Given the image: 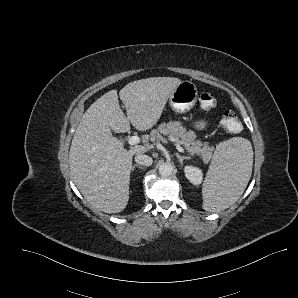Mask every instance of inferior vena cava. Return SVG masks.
I'll return each instance as SVG.
<instances>
[{
	"label": "inferior vena cava",
	"instance_id": "1",
	"mask_svg": "<svg viewBox=\"0 0 298 298\" xmlns=\"http://www.w3.org/2000/svg\"><path fill=\"white\" fill-rule=\"evenodd\" d=\"M135 161L138 164L145 165V166H151L153 163V159L150 156L144 155V154H137L135 156Z\"/></svg>",
	"mask_w": 298,
	"mask_h": 298
}]
</instances>
